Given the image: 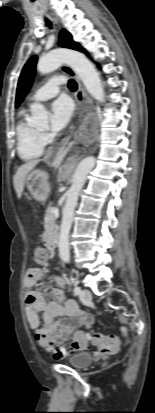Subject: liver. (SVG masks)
Here are the masks:
<instances>
[{
  "mask_svg": "<svg viewBox=\"0 0 155 413\" xmlns=\"http://www.w3.org/2000/svg\"><path fill=\"white\" fill-rule=\"evenodd\" d=\"M40 162V160H31L26 162L25 164L21 165L14 178V188L17 194V197L20 198L22 195V192L24 190V185L26 181V177L28 174L33 170V168Z\"/></svg>",
  "mask_w": 155,
  "mask_h": 413,
  "instance_id": "1",
  "label": "liver"
}]
</instances>
